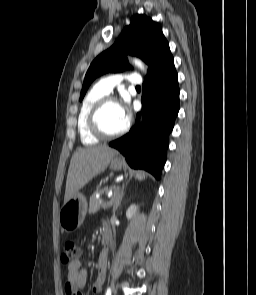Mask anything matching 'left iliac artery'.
<instances>
[{
    "instance_id": "obj_1",
    "label": "left iliac artery",
    "mask_w": 256,
    "mask_h": 295,
    "mask_svg": "<svg viewBox=\"0 0 256 295\" xmlns=\"http://www.w3.org/2000/svg\"><path fill=\"white\" fill-rule=\"evenodd\" d=\"M105 295H111V287L107 288V291H106Z\"/></svg>"
}]
</instances>
